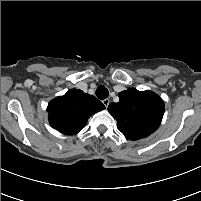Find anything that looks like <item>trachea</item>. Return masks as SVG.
Instances as JSON below:
<instances>
[{
    "label": "trachea",
    "mask_w": 201,
    "mask_h": 201,
    "mask_svg": "<svg viewBox=\"0 0 201 201\" xmlns=\"http://www.w3.org/2000/svg\"><path fill=\"white\" fill-rule=\"evenodd\" d=\"M109 95V92H108V89L103 86V85H100L97 89H96V96L103 100V99H106Z\"/></svg>",
    "instance_id": "3493384b"
}]
</instances>
